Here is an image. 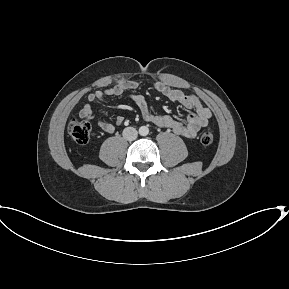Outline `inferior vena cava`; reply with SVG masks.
<instances>
[{"instance_id":"obj_1","label":"inferior vena cava","mask_w":289,"mask_h":289,"mask_svg":"<svg viewBox=\"0 0 289 289\" xmlns=\"http://www.w3.org/2000/svg\"><path fill=\"white\" fill-rule=\"evenodd\" d=\"M138 132L135 128L133 127H126L123 130V137L124 139L128 140V141H133L137 138Z\"/></svg>"}]
</instances>
